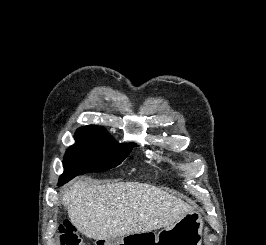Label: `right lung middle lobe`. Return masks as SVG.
<instances>
[{
	"instance_id": "dd1d6c3e",
	"label": "right lung middle lobe",
	"mask_w": 266,
	"mask_h": 245,
	"mask_svg": "<svg viewBox=\"0 0 266 245\" xmlns=\"http://www.w3.org/2000/svg\"><path fill=\"white\" fill-rule=\"evenodd\" d=\"M76 144L66 151L64 173L59 183L87 172H102L118 166L130 153L133 144L121 145L99 126H84L75 134Z\"/></svg>"
}]
</instances>
